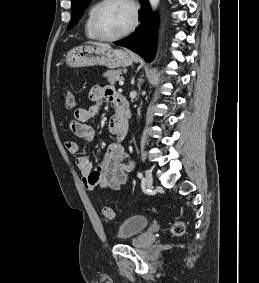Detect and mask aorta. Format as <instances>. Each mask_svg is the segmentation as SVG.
I'll return each mask as SVG.
<instances>
[{
    "label": "aorta",
    "instance_id": "aorta-1",
    "mask_svg": "<svg viewBox=\"0 0 259 283\" xmlns=\"http://www.w3.org/2000/svg\"><path fill=\"white\" fill-rule=\"evenodd\" d=\"M160 0H149L152 10L155 11L159 5Z\"/></svg>",
    "mask_w": 259,
    "mask_h": 283
}]
</instances>
